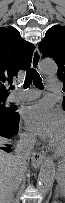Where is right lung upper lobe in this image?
Returning a JSON list of instances; mask_svg holds the SVG:
<instances>
[{"instance_id": "right-lung-upper-lobe-1", "label": "right lung upper lobe", "mask_w": 65, "mask_h": 203, "mask_svg": "<svg viewBox=\"0 0 65 203\" xmlns=\"http://www.w3.org/2000/svg\"><path fill=\"white\" fill-rule=\"evenodd\" d=\"M34 46L12 27L0 28V97L8 96L7 88L19 70L31 66Z\"/></svg>"}]
</instances>
